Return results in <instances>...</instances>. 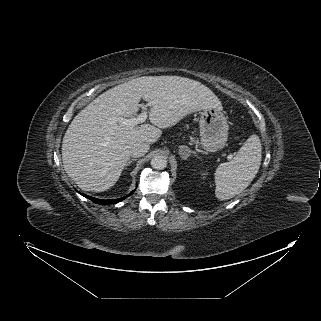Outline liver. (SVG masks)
<instances>
[{
	"label": "liver",
	"mask_w": 321,
	"mask_h": 321,
	"mask_svg": "<svg viewBox=\"0 0 321 321\" xmlns=\"http://www.w3.org/2000/svg\"><path fill=\"white\" fill-rule=\"evenodd\" d=\"M144 99L154 102L152 123L123 124ZM222 109L218 97L198 81L180 76H143L117 85L99 95L69 125L62 142L63 166L69 177L86 191L101 192L119 179L130 159V146L155 143L164 128L192 112Z\"/></svg>",
	"instance_id": "1"
}]
</instances>
